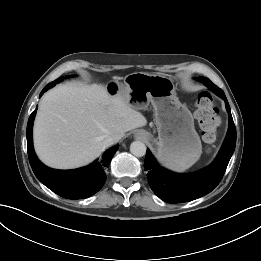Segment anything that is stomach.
Instances as JSON below:
<instances>
[{
    "label": "stomach",
    "mask_w": 261,
    "mask_h": 261,
    "mask_svg": "<svg viewBox=\"0 0 261 261\" xmlns=\"http://www.w3.org/2000/svg\"><path fill=\"white\" fill-rule=\"evenodd\" d=\"M106 88L109 94L121 96L135 110L152 104L158 130V141L153 139V142L157 145V157L164 165L183 171L199 159L202 145L194 118L179 101L170 78L136 72L126 76L124 85L110 82Z\"/></svg>",
    "instance_id": "obj_1"
}]
</instances>
